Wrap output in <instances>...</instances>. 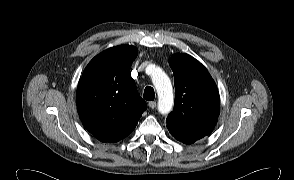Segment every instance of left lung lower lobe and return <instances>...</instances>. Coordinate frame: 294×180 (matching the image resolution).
Segmentation results:
<instances>
[{"label": "left lung lower lobe", "mask_w": 294, "mask_h": 180, "mask_svg": "<svg viewBox=\"0 0 294 180\" xmlns=\"http://www.w3.org/2000/svg\"><path fill=\"white\" fill-rule=\"evenodd\" d=\"M177 140L185 143V144H192L197 140H200V137H193V136H186V135H179V134H172Z\"/></svg>", "instance_id": "left-lung-lower-lobe-1"}]
</instances>
